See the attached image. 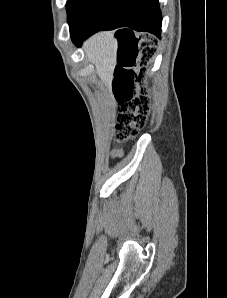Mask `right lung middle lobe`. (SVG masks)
Wrapping results in <instances>:
<instances>
[{
	"label": "right lung middle lobe",
	"instance_id": "1",
	"mask_svg": "<svg viewBox=\"0 0 227 298\" xmlns=\"http://www.w3.org/2000/svg\"><path fill=\"white\" fill-rule=\"evenodd\" d=\"M109 0H67L70 34L80 31L84 25Z\"/></svg>",
	"mask_w": 227,
	"mask_h": 298
}]
</instances>
